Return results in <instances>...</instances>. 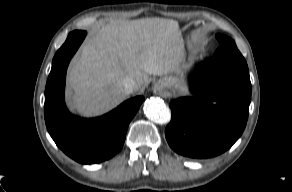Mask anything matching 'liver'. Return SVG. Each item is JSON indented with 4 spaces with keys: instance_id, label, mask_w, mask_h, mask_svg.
<instances>
[{
    "instance_id": "1",
    "label": "liver",
    "mask_w": 292,
    "mask_h": 192,
    "mask_svg": "<svg viewBox=\"0 0 292 192\" xmlns=\"http://www.w3.org/2000/svg\"><path fill=\"white\" fill-rule=\"evenodd\" d=\"M184 60L177 21H111L84 43L70 67V105L84 116L104 113L126 98L125 78L135 81L137 92L150 82L149 75L180 72Z\"/></svg>"
}]
</instances>
